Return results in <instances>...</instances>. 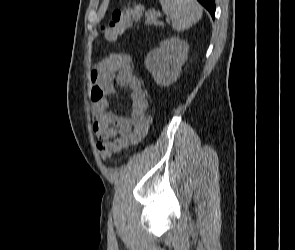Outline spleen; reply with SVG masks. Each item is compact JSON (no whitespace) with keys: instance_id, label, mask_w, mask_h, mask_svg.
Segmentation results:
<instances>
[{"instance_id":"1","label":"spleen","mask_w":295,"mask_h":250,"mask_svg":"<svg viewBox=\"0 0 295 250\" xmlns=\"http://www.w3.org/2000/svg\"><path fill=\"white\" fill-rule=\"evenodd\" d=\"M163 12L172 21L173 29L183 31L198 22L203 13L196 0H159Z\"/></svg>"}]
</instances>
